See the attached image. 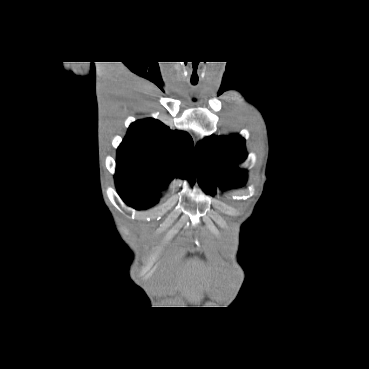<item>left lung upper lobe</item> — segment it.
<instances>
[{"label":"left lung upper lobe","instance_id":"1","mask_svg":"<svg viewBox=\"0 0 369 369\" xmlns=\"http://www.w3.org/2000/svg\"><path fill=\"white\" fill-rule=\"evenodd\" d=\"M246 156L245 140L239 135L210 136L198 142L195 168L199 185L210 195L215 194L216 186L222 189L243 186L247 173L237 165Z\"/></svg>","mask_w":369,"mask_h":369}]
</instances>
